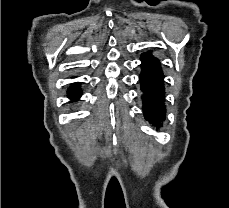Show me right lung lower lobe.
<instances>
[{
  "mask_svg": "<svg viewBox=\"0 0 229 208\" xmlns=\"http://www.w3.org/2000/svg\"><path fill=\"white\" fill-rule=\"evenodd\" d=\"M67 96L72 100V102L77 101L80 98L81 90L78 83L68 89Z\"/></svg>",
  "mask_w": 229,
  "mask_h": 208,
  "instance_id": "obj_1",
  "label": "right lung lower lobe"
}]
</instances>
